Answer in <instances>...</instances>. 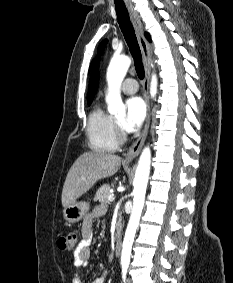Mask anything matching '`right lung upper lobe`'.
<instances>
[{
  "label": "right lung upper lobe",
  "mask_w": 233,
  "mask_h": 283,
  "mask_svg": "<svg viewBox=\"0 0 233 283\" xmlns=\"http://www.w3.org/2000/svg\"><path fill=\"white\" fill-rule=\"evenodd\" d=\"M146 38L151 41L150 35L148 33H145ZM98 65H99V59H96V62L94 64L90 82H89V90H88V104H91L94 95L98 89L99 86V72H98Z\"/></svg>",
  "instance_id": "1"
}]
</instances>
